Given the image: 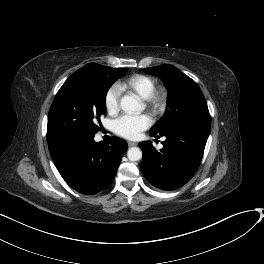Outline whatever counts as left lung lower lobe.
<instances>
[{
  "instance_id": "0a47b994",
  "label": "left lung lower lobe",
  "mask_w": 264,
  "mask_h": 264,
  "mask_svg": "<svg viewBox=\"0 0 264 264\" xmlns=\"http://www.w3.org/2000/svg\"><path fill=\"white\" fill-rule=\"evenodd\" d=\"M209 132L208 121H186L164 135L160 151L150 141L139 143L143 152L140 169L145 179L162 190L185 185L199 168Z\"/></svg>"
}]
</instances>
